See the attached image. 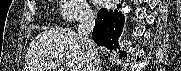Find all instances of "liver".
<instances>
[{
    "label": "liver",
    "instance_id": "6515ba94",
    "mask_svg": "<svg viewBox=\"0 0 181 71\" xmlns=\"http://www.w3.org/2000/svg\"><path fill=\"white\" fill-rule=\"evenodd\" d=\"M52 53L66 57L69 71L85 69L86 54L78 34L61 29L41 32L36 36L28 48L23 71H57L61 64Z\"/></svg>",
    "mask_w": 181,
    "mask_h": 71
}]
</instances>
